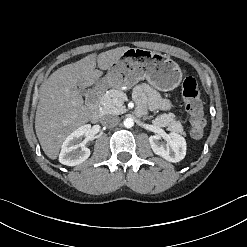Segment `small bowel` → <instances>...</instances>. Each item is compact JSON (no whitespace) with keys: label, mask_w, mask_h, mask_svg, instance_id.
Returning a JSON list of instances; mask_svg holds the SVG:
<instances>
[{"label":"small bowel","mask_w":247,"mask_h":247,"mask_svg":"<svg viewBox=\"0 0 247 247\" xmlns=\"http://www.w3.org/2000/svg\"><path fill=\"white\" fill-rule=\"evenodd\" d=\"M134 98L138 111L143 113L147 108L151 110H166L169 103L147 84H140L134 89Z\"/></svg>","instance_id":"c3829d8e"}]
</instances>
